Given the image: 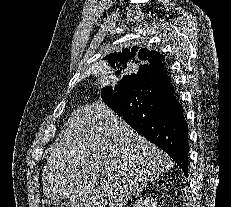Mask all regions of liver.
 <instances>
[{
  "mask_svg": "<svg viewBox=\"0 0 231 207\" xmlns=\"http://www.w3.org/2000/svg\"><path fill=\"white\" fill-rule=\"evenodd\" d=\"M50 154L44 195L71 207H123L170 167L162 150L102 101L71 114Z\"/></svg>",
  "mask_w": 231,
  "mask_h": 207,
  "instance_id": "obj_1",
  "label": "liver"
}]
</instances>
